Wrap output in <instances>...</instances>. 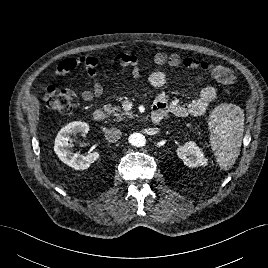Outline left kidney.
<instances>
[{
    "mask_svg": "<svg viewBox=\"0 0 268 268\" xmlns=\"http://www.w3.org/2000/svg\"><path fill=\"white\" fill-rule=\"evenodd\" d=\"M177 155L188 167L195 168L207 164V159L204 157L203 152L193 141H189L183 146H179Z\"/></svg>",
    "mask_w": 268,
    "mask_h": 268,
    "instance_id": "1",
    "label": "left kidney"
}]
</instances>
